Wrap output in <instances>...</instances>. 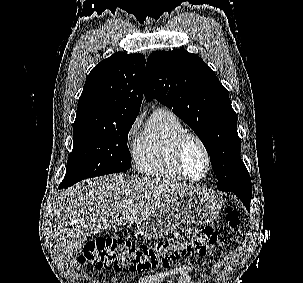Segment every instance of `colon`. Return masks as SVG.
<instances>
[{"instance_id":"5ec220e1","label":"colon","mask_w":303,"mask_h":283,"mask_svg":"<svg viewBox=\"0 0 303 283\" xmlns=\"http://www.w3.org/2000/svg\"><path fill=\"white\" fill-rule=\"evenodd\" d=\"M224 215L231 229L240 227L241 217L236 208L227 206ZM217 242L218 234L210 226L185 227L168 238L151 243L99 238L85 245L78 261L90 264L95 270L143 272L169 267L189 253L207 255Z\"/></svg>"}]
</instances>
